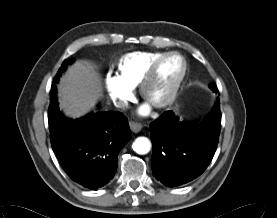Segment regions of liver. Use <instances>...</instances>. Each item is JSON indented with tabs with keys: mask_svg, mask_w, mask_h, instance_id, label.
I'll return each instance as SVG.
<instances>
[{
	"mask_svg": "<svg viewBox=\"0 0 277 218\" xmlns=\"http://www.w3.org/2000/svg\"><path fill=\"white\" fill-rule=\"evenodd\" d=\"M58 88L60 107L73 118L91 111L102 90L99 75L88 61H78L69 67Z\"/></svg>",
	"mask_w": 277,
	"mask_h": 218,
	"instance_id": "obj_1",
	"label": "liver"
}]
</instances>
